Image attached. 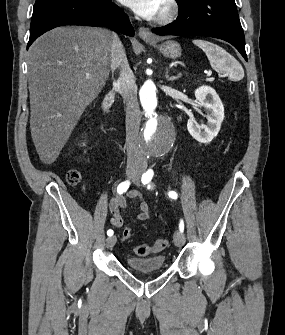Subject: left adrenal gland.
Returning a JSON list of instances; mask_svg holds the SVG:
<instances>
[{"label":"left adrenal gland","instance_id":"obj_1","mask_svg":"<svg viewBox=\"0 0 285 335\" xmlns=\"http://www.w3.org/2000/svg\"><path fill=\"white\" fill-rule=\"evenodd\" d=\"M169 74V70L168 68H166V80H168V82H173V80H178V78H181V74H177V76H168Z\"/></svg>","mask_w":285,"mask_h":335}]
</instances>
